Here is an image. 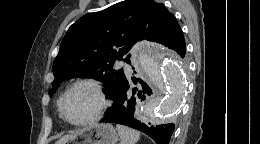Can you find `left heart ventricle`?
Here are the masks:
<instances>
[{
  "mask_svg": "<svg viewBox=\"0 0 260 144\" xmlns=\"http://www.w3.org/2000/svg\"><path fill=\"white\" fill-rule=\"evenodd\" d=\"M99 107V100L94 90L88 86L77 87L67 98L65 113L73 122L91 118Z\"/></svg>",
  "mask_w": 260,
  "mask_h": 144,
  "instance_id": "b2bd125f",
  "label": "left heart ventricle"
}]
</instances>
